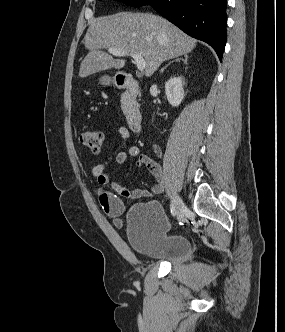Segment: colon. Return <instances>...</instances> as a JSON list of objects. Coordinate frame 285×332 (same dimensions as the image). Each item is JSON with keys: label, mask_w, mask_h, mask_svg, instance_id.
<instances>
[{"label": "colon", "mask_w": 285, "mask_h": 332, "mask_svg": "<svg viewBox=\"0 0 285 332\" xmlns=\"http://www.w3.org/2000/svg\"><path fill=\"white\" fill-rule=\"evenodd\" d=\"M79 140L86 148L98 152L104 143V135L98 130L83 129L79 132Z\"/></svg>", "instance_id": "5ec220e1"}]
</instances>
